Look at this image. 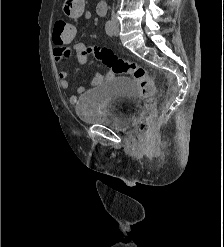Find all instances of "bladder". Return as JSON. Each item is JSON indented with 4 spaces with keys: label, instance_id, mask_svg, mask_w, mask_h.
<instances>
[{
    "label": "bladder",
    "instance_id": "1",
    "mask_svg": "<svg viewBox=\"0 0 224 247\" xmlns=\"http://www.w3.org/2000/svg\"><path fill=\"white\" fill-rule=\"evenodd\" d=\"M138 106L139 97L133 80L118 76L87 89L80 96L75 113L86 124L123 132L132 126Z\"/></svg>",
    "mask_w": 224,
    "mask_h": 247
}]
</instances>
